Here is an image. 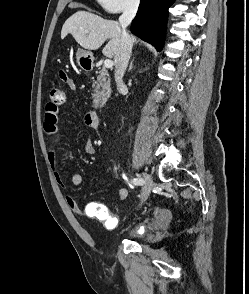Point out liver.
<instances>
[{"label": "liver", "mask_w": 249, "mask_h": 294, "mask_svg": "<svg viewBox=\"0 0 249 294\" xmlns=\"http://www.w3.org/2000/svg\"><path fill=\"white\" fill-rule=\"evenodd\" d=\"M71 34L76 42L88 50L98 49L107 39H110L102 52L105 56L116 57L121 48L122 29L118 22L106 20L88 11H78L69 17L61 30V38ZM136 42V37H131Z\"/></svg>", "instance_id": "1"}]
</instances>
